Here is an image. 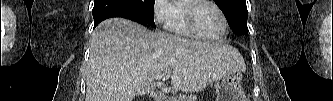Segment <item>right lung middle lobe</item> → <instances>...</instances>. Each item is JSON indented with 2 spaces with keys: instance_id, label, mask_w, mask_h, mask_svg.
<instances>
[{
  "instance_id": "obj_1",
  "label": "right lung middle lobe",
  "mask_w": 333,
  "mask_h": 101,
  "mask_svg": "<svg viewBox=\"0 0 333 101\" xmlns=\"http://www.w3.org/2000/svg\"><path fill=\"white\" fill-rule=\"evenodd\" d=\"M140 14L143 23L155 27L153 11L155 0H129Z\"/></svg>"
}]
</instances>
